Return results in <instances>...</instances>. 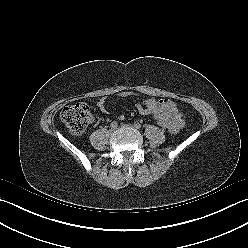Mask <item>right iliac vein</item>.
<instances>
[{"instance_id": "right-iliac-vein-1", "label": "right iliac vein", "mask_w": 248, "mask_h": 248, "mask_svg": "<svg viewBox=\"0 0 248 248\" xmlns=\"http://www.w3.org/2000/svg\"><path fill=\"white\" fill-rule=\"evenodd\" d=\"M114 131H115V128H111V129L109 130V133H110V134H113Z\"/></svg>"}]
</instances>
